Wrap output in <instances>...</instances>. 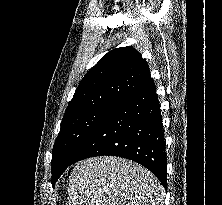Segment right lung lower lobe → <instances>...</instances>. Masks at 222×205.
I'll return each instance as SVG.
<instances>
[{
    "instance_id": "1",
    "label": "right lung lower lobe",
    "mask_w": 222,
    "mask_h": 205,
    "mask_svg": "<svg viewBox=\"0 0 222 205\" xmlns=\"http://www.w3.org/2000/svg\"><path fill=\"white\" fill-rule=\"evenodd\" d=\"M154 81L119 101L96 125L71 164L101 156H119L149 169L166 188L165 139Z\"/></svg>"
}]
</instances>
